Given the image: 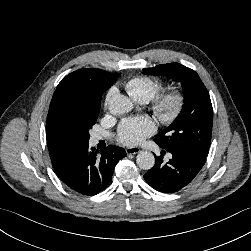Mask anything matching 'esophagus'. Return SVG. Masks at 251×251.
<instances>
[{"instance_id": "esophagus-1", "label": "esophagus", "mask_w": 251, "mask_h": 251, "mask_svg": "<svg viewBox=\"0 0 251 251\" xmlns=\"http://www.w3.org/2000/svg\"><path fill=\"white\" fill-rule=\"evenodd\" d=\"M141 150L140 148H137V147H128L126 148V153L129 155V154H137L139 153Z\"/></svg>"}]
</instances>
